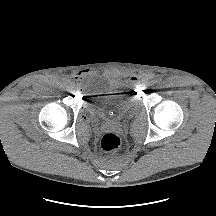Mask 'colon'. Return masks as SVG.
I'll return each instance as SVG.
<instances>
[{
  "label": "colon",
  "mask_w": 216,
  "mask_h": 216,
  "mask_svg": "<svg viewBox=\"0 0 216 216\" xmlns=\"http://www.w3.org/2000/svg\"><path fill=\"white\" fill-rule=\"evenodd\" d=\"M121 145L120 137L115 133H106L101 139V148L104 151L117 150Z\"/></svg>",
  "instance_id": "colon-1"
}]
</instances>
